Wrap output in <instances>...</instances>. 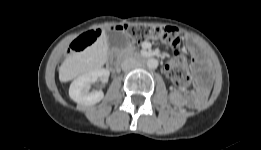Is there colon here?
I'll list each match as a JSON object with an SVG mask.
<instances>
[{
  "label": "colon",
  "instance_id": "obj_1",
  "mask_svg": "<svg viewBox=\"0 0 261 150\" xmlns=\"http://www.w3.org/2000/svg\"><path fill=\"white\" fill-rule=\"evenodd\" d=\"M122 30L135 42L141 43L147 40L160 41L169 44L173 49V59L165 65L166 74L179 87H184L189 81L186 61L180 46L182 35L180 31L171 26L154 27L142 25H125ZM102 34L100 29L87 31L76 40L70 47V52H79L92 45Z\"/></svg>",
  "mask_w": 261,
  "mask_h": 150
}]
</instances>
